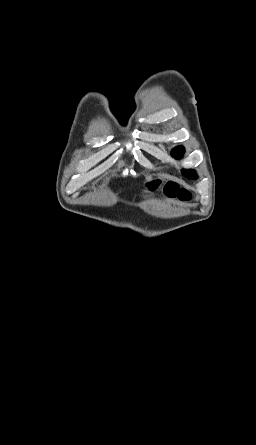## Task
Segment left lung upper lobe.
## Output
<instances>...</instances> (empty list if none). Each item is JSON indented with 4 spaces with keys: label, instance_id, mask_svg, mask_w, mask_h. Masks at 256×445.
<instances>
[{
    "label": "left lung upper lobe",
    "instance_id": "left-lung-upper-lobe-1",
    "mask_svg": "<svg viewBox=\"0 0 256 445\" xmlns=\"http://www.w3.org/2000/svg\"><path fill=\"white\" fill-rule=\"evenodd\" d=\"M184 153L183 147H176L172 150L171 155L177 159H180ZM185 176L189 179H196L197 175L194 170H183Z\"/></svg>",
    "mask_w": 256,
    "mask_h": 445
}]
</instances>
